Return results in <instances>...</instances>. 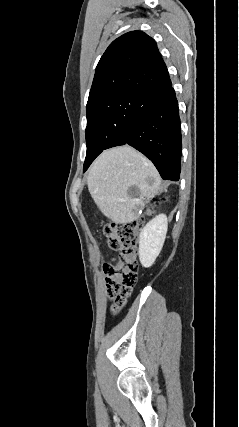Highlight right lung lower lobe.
Segmentation results:
<instances>
[{"label": "right lung lower lobe", "mask_w": 239, "mask_h": 427, "mask_svg": "<svg viewBox=\"0 0 239 427\" xmlns=\"http://www.w3.org/2000/svg\"><path fill=\"white\" fill-rule=\"evenodd\" d=\"M171 86L143 97L132 118L127 139L120 145L129 144L143 153L164 180L178 181L181 172V126L178 102Z\"/></svg>", "instance_id": "right-lung-lower-lobe-1"}]
</instances>
